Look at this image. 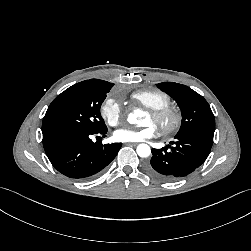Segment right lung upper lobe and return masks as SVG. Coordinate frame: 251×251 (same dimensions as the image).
Segmentation results:
<instances>
[{
  "mask_svg": "<svg viewBox=\"0 0 251 251\" xmlns=\"http://www.w3.org/2000/svg\"><path fill=\"white\" fill-rule=\"evenodd\" d=\"M88 82H92V83H95V84H99V85H104V86H107L109 84H112L110 82H106V81H103V80H99V79H90V80H86Z\"/></svg>",
  "mask_w": 251,
  "mask_h": 251,
  "instance_id": "1",
  "label": "right lung upper lobe"
}]
</instances>
